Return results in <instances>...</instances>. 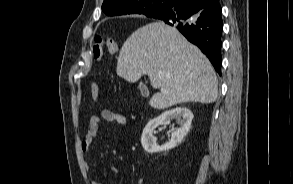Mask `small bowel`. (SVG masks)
Returning a JSON list of instances; mask_svg holds the SVG:
<instances>
[{
    "mask_svg": "<svg viewBox=\"0 0 293 184\" xmlns=\"http://www.w3.org/2000/svg\"><path fill=\"white\" fill-rule=\"evenodd\" d=\"M102 120L110 123H117L120 125H125L127 123L126 117L110 109L102 110L99 116L95 115L90 117L86 134L81 142V150L84 154H88L90 148L94 144V141L99 131L100 122ZM86 168H90L89 162H86ZM110 172L112 174H118L119 168L117 166H111ZM91 184L103 183L100 180L93 178L91 179Z\"/></svg>",
    "mask_w": 293,
    "mask_h": 184,
    "instance_id": "1",
    "label": "small bowel"
}]
</instances>
